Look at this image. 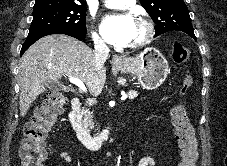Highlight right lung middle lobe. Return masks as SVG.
<instances>
[{
  "label": "right lung middle lobe",
  "mask_w": 227,
  "mask_h": 166,
  "mask_svg": "<svg viewBox=\"0 0 227 166\" xmlns=\"http://www.w3.org/2000/svg\"><path fill=\"white\" fill-rule=\"evenodd\" d=\"M86 10L75 4L34 5L28 37L51 30H68L86 34Z\"/></svg>",
  "instance_id": "obj_1"
}]
</instances>
